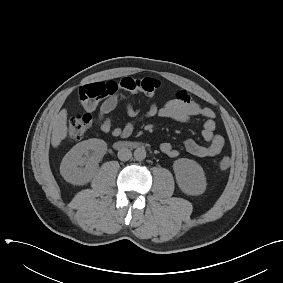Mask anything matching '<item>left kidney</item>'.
I'll use <instances>...</instances> for the list:
<instances>
[{
  "label": "left kidney",
  "instance_id": "obj_1",
  "mask_svg": "<svg viewBox=\"0 0 283 283\" xmlns=\"http://www.w3.org/2000/svg\"><path fill=\"white\" fill-rule=\"evenodd\" d=\"M173 170L180 189L188 195H200L206 190L203 168L194 160L180 158L173 163Z\"/></svg>",
  "mask_w": 283,
  "mask_h": 283
}]
</instances>
